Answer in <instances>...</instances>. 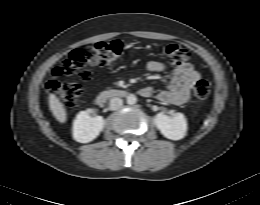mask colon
Masks as SVG:
<instances>
[{
  "label": "colon",
  "instance_id": "1",
  "mask_svg": "<svg viewBox=\"0 0 260 205\" xmlns=\"http://www.w3.org/2000/svg\"><path fill=\"white\" fill-rule=\"evenodd\" d=\"M123 47L119 41L98 42L93 45L73 50L69 57L58 66L53 78L47 83V91L67 104L74 106L82 93L81 81L91 78L90 67L108 66L119 60ZM164 53L172 64L178 65L188 58V50L181 45L169 43ZM64 77H75L77 81H68ZM194 95L205 100L210 95V85L204 79H199L193 88Z\"/></svg>",
  "mask_w": 260,
  "mask_h": 205
}]
</instances>
